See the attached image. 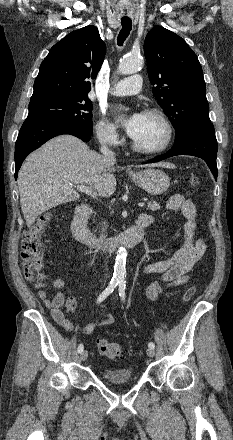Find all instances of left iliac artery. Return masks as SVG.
Wrapping results in <instances>:
<instances>
[{
  "label": "left iliac artery",
  "mask_w": 233,
  "mask_h": 440,
  "mask_svg": "<svg viewBox=\"0 0 233 440\" xmlns=\"http://www.w3.org/2000/svg\"><path fill=\"white\" fill-rule=\"evenodd\" d=\"M126 281L125 280H121L119 282V296L121 297V299L123 301H125V289H126ZM149 348L154 349L155 348V344L153 342H150L148 344Z\"/></svg>",
  "instance_id": "44dca946"
}]
</instances>
